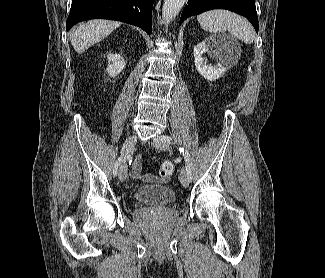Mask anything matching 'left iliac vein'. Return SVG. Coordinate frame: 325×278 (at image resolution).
<instances>
[{
	"label": "left iliac vein",
	"instance_id": "obj_1",
	"mask_svg": "<svg viewBox=\"0 0 325 278\" xmlns=\"http://www.w3.org/2000/svg\"><path fill=\"white\" fill-rule=\"evenodd\" d=\"M152 144L154 147H156L159 150L165 151L168 150L169 147L165 142H162L161 136L156 137L153 141ZM180 182L183 187L187 188L189 186V176L188 173L185 169H182L181 174H180Z\"/></svg>",
	"mask_w": 325,
	"mask_h": 278
}]
</instances>
